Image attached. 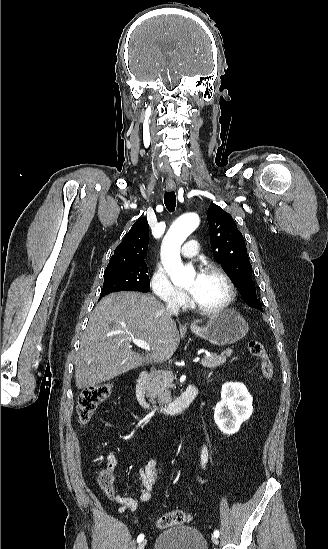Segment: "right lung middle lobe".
<instances>
[{
  "instance_id": "obj_1",
  "label": "right lung middle lobe",
  "mask_w": 328,
  "mask_h": 549,
  "mask_svg": "<svg viewBox=\"0 0 328 549\" xmlns=\"http://www.w3.org/2000/svg\"><path fill=\"white\" fill-rule=\"evenodd\" d=\"M147 272L145 261L105 271L103 289L99 300L103 296L117 291L146 292L150 288Z\"/></svg>"
}]
</instances>
